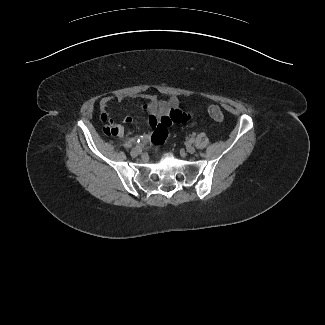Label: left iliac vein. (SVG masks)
Returning <instances> with one entry per match:
<instances>
[{
  "instance_id": "obj_1",
  "label": "left iliac vein",
  "mask_w": 325,
  "mask_h": 325,
  "mask_svg": "<svg viewBox=\"0 0 325 325\" xmlns=\"http://www.w3.org/2000/svg\"><path fill=\"white\" fill-rule=\"evenodd\" d=\"M186 150H187V152L190 153V154H192V153L195 152V148H194V146H192L191 144H188V145L186 146Z\"/></svg>"
}]
</instances>
